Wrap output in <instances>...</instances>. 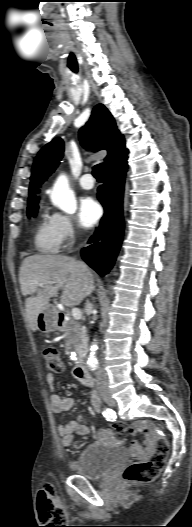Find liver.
<instances>
[{
  "mask_svg": "<svg viewBox=\"0 0 192 527\" xmlns=\"http://www.w3.org/2000/svg\"><path fill=\"white\" fill-rule=\"evenodd\" d=\"M55 281V284L50 282ZM19 282L25 300L26 320L36 331L40 311L62 290L61 303L67 307L79 305L94 289V276L76 259L62 255H32L20 267ZM36 293L35 296L32 294Z\"/></svg>",
  "mask_w": 192,
  "mask_h": 527,
  "instance_id": "obj_1",
  "label": "liver"
}]
</instances>
